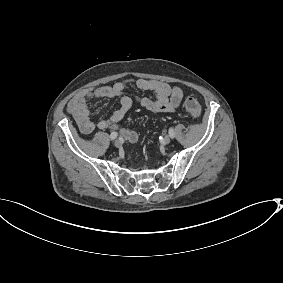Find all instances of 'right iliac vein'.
I'll return each instance as SVG.
<instances>
[{
  "label": "right iliac vein",
  "instance_id": "1",
  "mask_svg": "<svg viewBox=\"0 0 283 283\" xmlns=\"http://www.w3.org/2000/svg\"><path fill=\"white\" fill-rule=\"evenodd\" d=\"M114 145L115 147L120 148L122 146V142L120 140H116Z\"/></svg>",
  "mask_w": 283,
  "mask_h": 283
}]
</instances>
